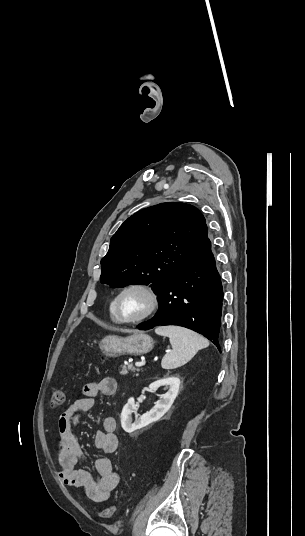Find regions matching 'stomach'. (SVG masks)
<instances>
[{
  "label": "stomach",
  "instance_id": "obj_1",
  "mask_svg": "<svg viewBox=\"0 0 305 536\" xmlns=\"http://www.w3.org/2000/svg\"><path fill=\"white\" fill-rule=\"evenodd\" d=\"M99 348L102 354L109 358H117L122 354H132V356H140V354H148L154 348V342L151 336L144 332H135L133 336L128 338H120V336H106L99 342Z\"/></svg>",
  "mask_w": 305,
  "mask_h": 536
}]
</instances>
